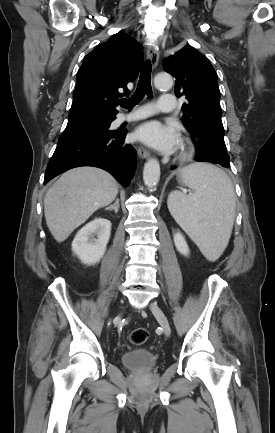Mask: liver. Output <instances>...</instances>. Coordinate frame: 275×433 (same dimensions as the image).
<instances>
[{"instance_id": "obj_1", "label": "liver", "mask_w": 275, "mask_h": 433, "mask_svg": "<svg viewBox=\"0 0 275 433\" xmlns=\"http://www.w3.org/2000/svg\"><path fill=\"white\" fill-rule=\"evenodd\" d=\"M117 181L95 167L71 169L47 191L44 199L46 224L57 242H63L96 210L112 203Z\"/></svg>"}]
</instances>
